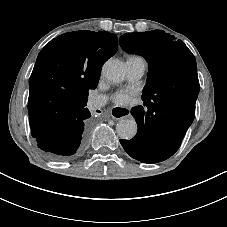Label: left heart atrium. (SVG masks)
I'll return each mask as SVG.
<instances>
[{
  "label": "left heart atrium",
  "instance_id": "1",
  "mask_svg": "<svg viewBox=\"0 0 227 227\" xmlns=\"http://www.w3.org/2000/svg\"><path fill=\"white\" fill-rule=\"evenodd\" d=\"M116 101L121 105H128L132 102V95L129 93L119 94Z\"/></svg>",
  "mask_w": 227,
  "mask_h": 227
}]
</instances>
